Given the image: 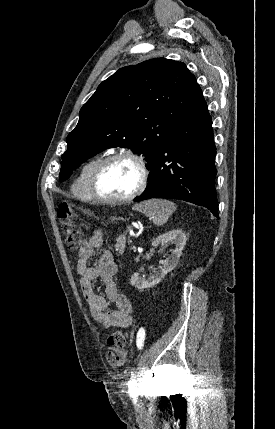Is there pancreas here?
<instances>
[{
    "instance_id": "cf45deb5",
    "label": "pancreas",
    "mask_w": 275,
    "mask_h": 429,
    "mask_svg": "<svg viewBox=\"0 0 275 429\" xmlns=\"http://www.w3.org/2000/svg\"><path fill=\"white\" fill-rule=\"evenodd\" d=\"M126 233L120 235L117 239H116V244H115V249L116 251H118L120 254H123L124 249H125V244H126V237H125Z\"/></svg>"
}]
</instances>
